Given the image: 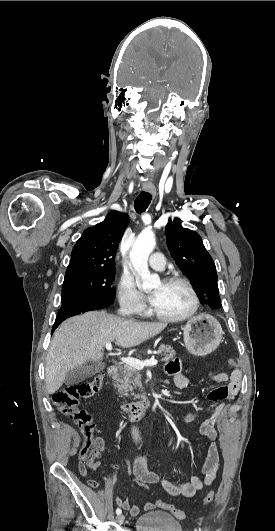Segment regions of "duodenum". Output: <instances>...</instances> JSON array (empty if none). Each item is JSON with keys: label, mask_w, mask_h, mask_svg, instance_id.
<instances>
[{"label": "duodenum", "mask_w": 275, "mask_h": 531, "mask_svg": "<svg viewBox=\"0 0 275 531\" xmlns=\"http://www.w3.org/2000/svg\"><path fill=\"white\" fill-rule=\"evenodd\" d=\"M118 371V365H110L107 368V375L113 377ZM152 407L150 399H143L136 403L126 404L121 407L122 412L130 418L142 417Z\"/></svg>", "instance_id": "obj_1"}]
</instances>
